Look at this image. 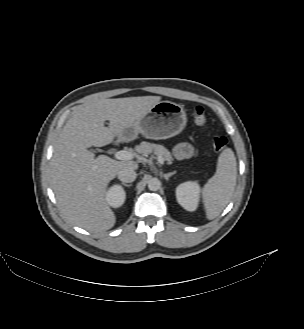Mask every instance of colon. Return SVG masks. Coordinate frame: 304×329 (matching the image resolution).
Here are the masks:
<instances>
[{"label": "colon", "instance_id": "1", "mask_svg": "<svg viewBox=\"0 0 304 329\" xmlns=\"http://www.w3.org/2000/svg\"><path fill=\"white\" fill-rule=\"evenodd\" d=\"M192 118L198 126H206V111L203 107H196L192 112ZM210 142L216 151H223L229 147V142L223 135L213 136Z\"/></svg>", "mask_w": 304, "mask_h": 329}]
</instances>
